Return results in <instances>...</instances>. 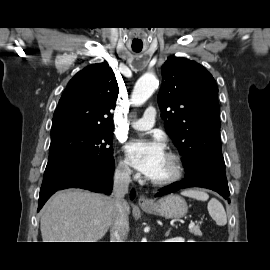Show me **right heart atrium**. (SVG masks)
<instances>
[{
    "label": "right heart atrium",
    "mask_w": 270,
    "mask_h": 270,
    "mask_svg": "<svg viewBox=\"0 0 270 270\" xmlns=\"http://www.w3.org/2000/svg\"><path fill=\"white\" fill-rule=\"evenodd\" d=\"M115 171L120 177L125 178V179L130 178L133 174L128 160L124 157H119L116 164Z\"/></svg>",
    "instance_id": "1"
}]
</instances>
